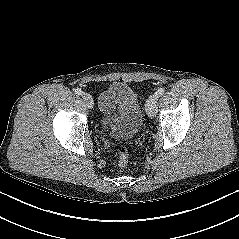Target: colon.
<instances>
[{"mask_svg":"<svg viewBox=\"0 0 239 239\" xmlns=\"http://www.w3.org/2000/svg\"><path fill=\"white\" fill-rule=\"evenodd\" d=\"M118 163L121 167L127 166L129 162V150L125 145H120L117 148Z\"/></svg>","mask_w":239,"mask_h":239,"instance_id":"5ec220e1","label":"colon"}]
</instances>
